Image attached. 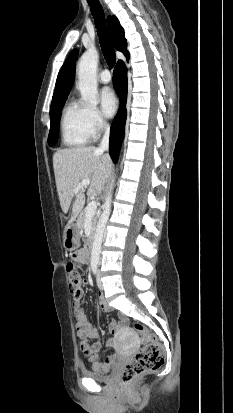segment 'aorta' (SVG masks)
I'll list each match as a JSON object with an SVG mask.
<instances>
[{"label": "aorta", "mask_w": 233, "mask_h": 413, "mask_svg": "<svg viewBox=\"0 0 233 413\" xmlns=\"http://www.w3.org/2000/svg\"><path fill=\"white\" fill-rule=\"evenodd\" d=\"M99 61L98 52L91 48L88 49L80 58L77 66L78 84L77 87L81 92L82 100L91 106L98 103V89L96 80V71ZM113 179L107 197L103 205V212L99 218L91 252V265L97 266L100 261V253L105 227L110 216L112 204V190L114 188Z\"/></svg>", "instance_id": "obj_1"}]
</instances>
